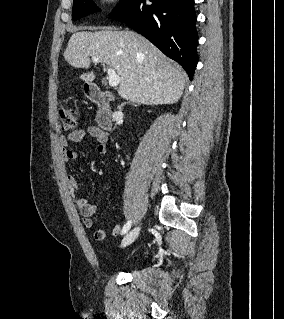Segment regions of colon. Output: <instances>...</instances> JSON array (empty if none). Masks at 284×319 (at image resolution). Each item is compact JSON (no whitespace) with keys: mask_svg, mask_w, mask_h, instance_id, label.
<instances>
[{"mask_svg":"<svg viewBox=\"0 0 284 319\" xmlns=\"http://www.w3.org/2000/svg\"><path fill=\"white\" fill-rule=\"evenodd\" d=\"M58 114L62 130L68 131L76 126L77 112L75 108L62 104L58 108Z\"/></svg>","mask_w":284,"mask_h":319,"instance_id":"5ec220e1","label":"colon"}]
</instances>
